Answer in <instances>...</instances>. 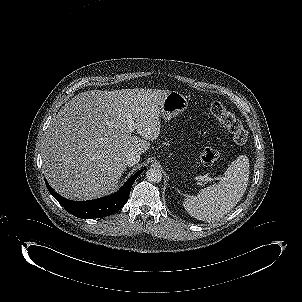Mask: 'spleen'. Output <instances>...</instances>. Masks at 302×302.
Listing matches in <instances>:
<instances>
[{
  "instance_id": "obj_1",
  "label": "spleen",
  "mask_w": 302,
  "mask_h": 302,
  "mask_svg": "<svg viewBox=\"0 0 302 302\" xmlns=\"http://www.w3.org/2000/svg\"><path fill=\"white\" fill-rule=\"evenodd\" d=\"M249 179V161L240 156L228 167L218 184L200 190L183 201L185 210L202 221H215L232 210L244 195Z\"/></svg>"
}]
</instances>
